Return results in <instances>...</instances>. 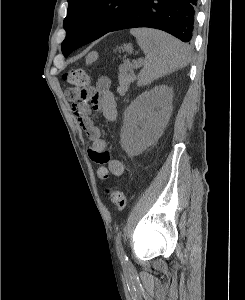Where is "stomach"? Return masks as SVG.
<instances>
[{
    "instance_id": "0dacf381",
    "label": "stomach",
    "mask_w": 245,
    "mask_h": 300,
    "mask_svg": "<svg viewBox=\"0 0 245 300\" xmlns=\"http://www.w3.org/2000/svg\"><path fill=\"white\" fill-rule=\"evenodd\" d=\"M124 49L128 52H132V46L131 45H125Z\"/></svg>"
}]
</instances>
